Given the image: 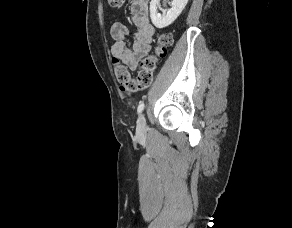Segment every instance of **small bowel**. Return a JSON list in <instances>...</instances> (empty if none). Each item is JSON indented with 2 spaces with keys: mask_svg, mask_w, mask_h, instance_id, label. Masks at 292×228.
<instances>
[{
  "mask_svg": "<svg viewBox=\"0 0 292 228\" xmlns=\"http://www.w3.org/2000/svg\"><path fill=\"white\" fill-rule=\"evenodd\" d=\"M131 22L135 27L134 40L129 49L126 38L130 27L121 21L111 26V36L114 44L111 47L112 60L115 66L121 65L128 71L135 70L139 60L151 49L155 28L149 19V1L132 0L130 5Z\"/></svg>",
  "mask_w": 292,
  "mask_h": 228,
  "instance_id": "small-bowel-1",
  "label": "small bowel"
}]
</instances>
